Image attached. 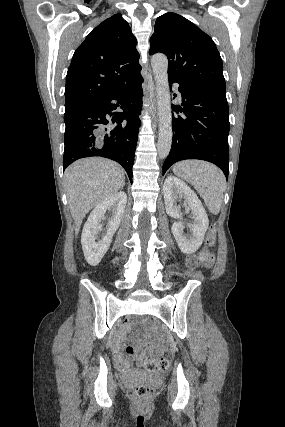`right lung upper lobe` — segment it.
Masks as SVG:
<instances>
[{"mask_svg":"<svg viewBox=\"0 0 285 427\" xmlns=\"http://www.w3.org/2000/svg\"><path fill=\"white\" fill-rule=\"evenodd\" d=\"M137 40L121 14L103 21L75 51L68 68L65 108L118 91L141 74Z\"/></svg>","mask_w":285,"mask_h":427,"instance_id":"right-lung-upper-lobe-1","label":"right lung upper lobe"}]
</instances>
